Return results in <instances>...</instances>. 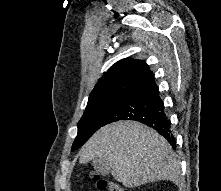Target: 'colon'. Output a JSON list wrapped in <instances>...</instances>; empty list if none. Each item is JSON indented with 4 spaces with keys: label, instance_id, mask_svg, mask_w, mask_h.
<instances>
[{
    "label": "colon",
    "instance_id": "colon-1",
    "mask_svg": "<svg viewBox=\"0 0 221 191\" xmlns=\"http://www.w3.org/2000/svg\"><path fill=\"white\" fill-rule=\"evenodd\" d=\"M91 178L96 182L99 191H126L120 185L112 182H108L102 179L97 174H91Z\"/></svg>",
    "mask_w": 221,
    "mask_h": 191
}]
</instances>
